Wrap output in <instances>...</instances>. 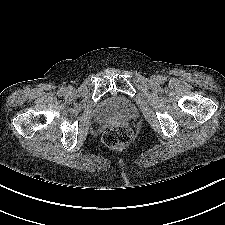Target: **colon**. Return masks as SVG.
Returning a JSON list of instances; mask_svg holds the SVG:
<instances>
[{
	"label": "colon",
	"mask_w": 225,
	"mask_h": 225,
	"mask_svg": "<svg viewBox=\"0 0 225 225\" xmlns=\"http://www.w3.org/2000/svg\"><path fill=\"white\" fill-rule=\"evenodd\" d=\"M133 138L132 130L125 125H115L108 128L103 134V142L108 147H121Z\"/></svg>",
	"instance_id": "5ec220e1"
}]
</instances>
